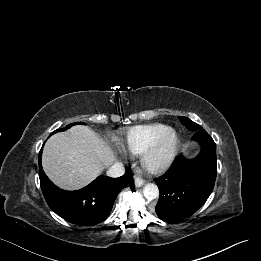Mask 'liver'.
<instances>
[{
  "label": "liver",
  "mask_w": 261,
  "mask_h": 261,
  "mask_svg": "<svg viewBox=\"0 0 261 261\" xmlns=\"http://www.w3.org/2000/svg\"><path fill=\"white\" fill-rule=\"evenodd\" d=\"M114 160L110 147L94 131L77 125L47 140L42 166L57 186L75 190L88 185Z\"/></svg>",
  "instance_id": "obj_1"
}]
</instances>
